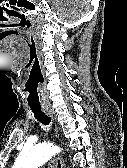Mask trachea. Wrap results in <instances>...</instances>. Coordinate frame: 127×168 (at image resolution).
I'll return each mask as SVG.
<instances>
[{"mask_svg": "<svg viewBox=\"0 0 127 168\" xmlns=\"http://www.w3.org/2000/svg\"><path fill=\"white\" fill-rule=\"evenodd\" d=\"M35 118L42 123L43 125L47 126L50 124L51 119L48 117L41 109V106H30Z\"/></svg>", "mask_w": 127, "mask_h": 168, "instance_id": "3493384b", "label": "trachea"}]
</instances>
